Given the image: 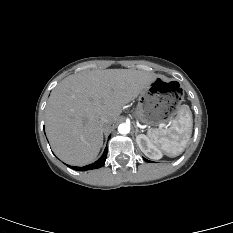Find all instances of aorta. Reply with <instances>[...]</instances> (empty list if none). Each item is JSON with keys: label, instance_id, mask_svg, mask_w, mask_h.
Returning <instances> with one entry per match:
<instances>
[{"label": "aorta", "instance_id": "obj_1", "mask_svg": "<svg viewBox=\"0 0 233 233\" xmlns=\"http://www.w3.org/2000/svg\"><path fill=\"white\" fill-rule=\"evenodd\" d=\"M118 132L120 134H128L130 132V125L127 123H122L118 126Z\"/></svg>", "mask_w": 233, "mask_h": 233}]
</instances>
